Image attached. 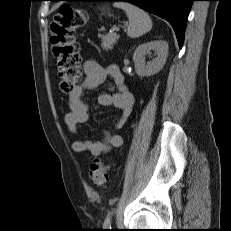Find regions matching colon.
Masks as SVG:
<instances>
[{
  "mask_svg": "<svg viewBox=\"0 0 231 231\" xmlns=\"http://www.w3.org/2000/svg\"><path fill=\"white\" fill-rule=\"evenodd\" d=\"M86 22L87 15L82 9L64 5L56 13L51 24L50 43L56 60L60 87L65 93L71 92L82 79L80 48L75 34ZM89 177L98 186L108 184V170L100 159L93 160Z\"/></svg>",
  "mask_w": 231,
  "mask_h": 231,
  "instance_id": "obj_1",
  "label": "colon"
}]
</instances>
